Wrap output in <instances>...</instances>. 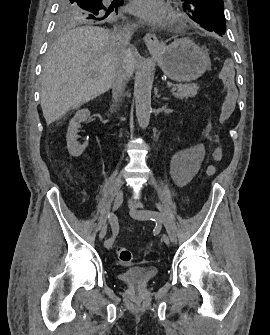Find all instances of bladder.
<instances>
[{
  "mask_svg": "<svg viewBox=\"0 0 270 335\" xmlns=\"http://www.w3.org/2000/svg\"><path fill=\"white\" fill-rule=\"evenodd\" d=\"M150 271L148 268H131L120 273L118 277L130 286L142 287L148 285L153 276Z\"/></svg>",
  "mask_w": 270,
  "mask_h": 335,
  "instance_id": "1",
  "label": "bladder"
}]
</instances>
